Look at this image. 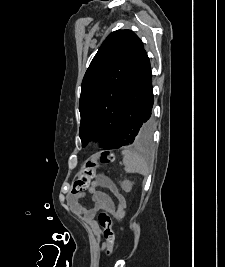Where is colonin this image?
I'll return each mask as SVG.
<instances>
[{"instance_id": "1", "label": "colon", "mask_w": 225, "mask_h": 267, "mask_svg": "<svg viewBox=\"0 0 225 267\" xmlns=\"http://www.w3.org/2000/svg\"><path fill=\"white\" fill-rule=\"evenodd\" d=\"M115 160L114 154L110 151H103L93 158L87 160L81 171L74 182L73 192L81 193L86 191L89 188L90 182L95 175L96 169L99 165H107L113 163ZM126 206L125 201H120L119 207L124 210ZM98 220L100 225L103 228L104 237L106 239V255L110 258L113 254L114 246H115V235L111 228L112 220L109 214V211L103 209L100 211L98 215Z\"/></svg>"}]
</instances>
